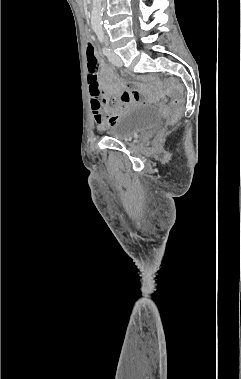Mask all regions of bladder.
Masks as SVG:
<instances>
[{
	"mask_svg": "<svg viewBox=\"0 0 241 379\" xmlns=\"http://www.w3.org/2000/svg\"><path fill=\"white\" fill-rule=\"evenodd\" d=\"M160 120L161 114L157 108L144 104L136 105L111 124L109 136L119 141H129L156 127Z\"/></svg>",
	"mask_w": 241,
	"mask_h": 379,
	"instance_id": "31cf9c89",
	"label": "bladder"
}]
</instances>
